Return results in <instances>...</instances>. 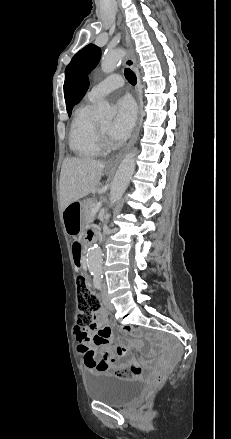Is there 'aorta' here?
Here are the masks:
<instances>
[{
    "label": "aorta",
    "instance_id": "obj_1",
    "mask_svg": "<svg viewBox=\"0 0 231 439\" xmlns=\"http://www.w3.org/2000/svg\"><path fill=\"white\" fill-rule=\"evenodd\" d=\"M124 54V51L121 49H117L105 54L101 61L102 71L105 73L113 72L123 59ZM113 115L114 110L106 101H103L99 104L97 109V117L100 120H111ZM135 156L136 149L126 155L118 167L110 188L111 206H113V204L122 197L130 182V179L135 171ZM102 263L103 253L101 248L97 245L92 246L88 251L87 265L90 272L97 278L102 276Z\"/></svg>",
    "mask_w": 231,
    "mask_h": 439
}]
</instances>
